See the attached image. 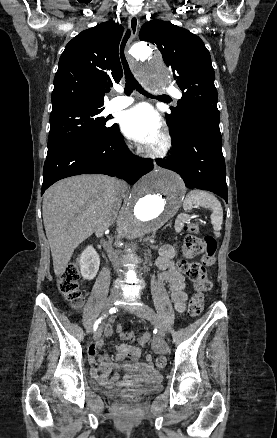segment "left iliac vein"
Segmentation results:
<instances>
[{
    "instance_id": "obj_1",
    "label": "left iliac vein",
    "mask_w": 277,
    "mask_h": 438,
    "mask_svg": "<svg viewBox=\"0 0 277 438\" xmlns=\"http://www.w3.org/2000/svg\"><path fill=\"white\" fill-rule=\"evenodd\" d=\"M134 314L137 315V316H140V317L148 319L158 329L159 337L161 339H163L165 337V328H164L163 324L161 323L159 317L154 312V310L151 309L149 306L143 305L137 311H135Z\"/></svg>"
}]
</instances>
